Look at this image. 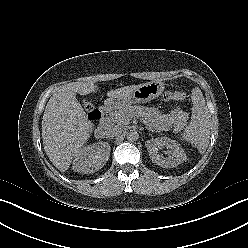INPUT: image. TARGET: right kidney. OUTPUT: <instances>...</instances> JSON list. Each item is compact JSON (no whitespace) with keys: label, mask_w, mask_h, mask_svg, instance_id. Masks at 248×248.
Wrapping results in <instances>:
<instances>
[{"label":"right kidney","mask_w":248,"mask_h":248,"mask_svg":"<svg viewBox=\"0 0 248 248\" xmlns=\"http://www.w3.org/2000/svg\"><path fill=\"white\" fill-rule=\"evenodd\" d=\"M110 151V145L102 141L85 146L74 157L72 169L83 174L94 173L106 164Z\"/></svg>","instance_id":"right-kidney-1"}]
</instances>
